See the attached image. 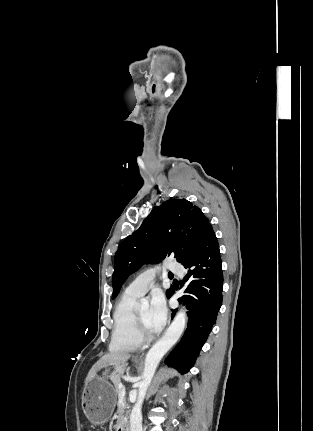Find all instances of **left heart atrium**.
Listing matches in <instances>:
<instances>
[{
  "label": "left heart atrium",
  "instance_id": "left-heart-atrium-1",
  "mask_svg": "<svg viewBox=\"0 0 313 431\" xmlns=\"http://www.w3.org/2000/svg\"><path fill=\"white\" fill-rule=\"evenodd\" d=\"M167 319L166 302L161 293L152 296L150 304V326L154 332L162 329Z\"/></svg>",
  "mask_w": 313,
  "mask_h": 431
}]
</instances>
